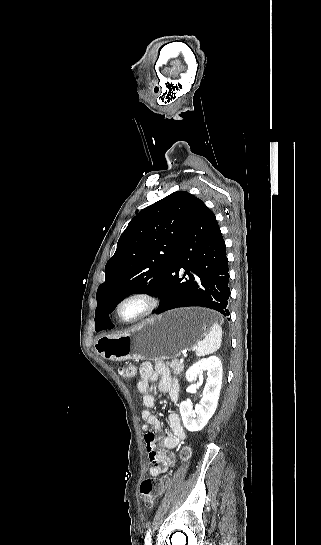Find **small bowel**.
Returning <instances> with one entry per match:
<instances>
[{"mask_svg": "<svg viewBox=\"0 0 321 545\" xmlns=\"http://www.w3.org/2000/svg\"><path fill=\"white\" fill-rule=\"evenodd\" d=\"M154 381L158 382V390L166 393L173 402H176L179 397V384L171 377L168 367L163 362H157L154 365L145 362L140 367L137 389L142 395V402L146 408L142 412L144 441L152 464L149 473L151 476L157 477L166 473L175 462V454L172 450L182 443L186 433L178 414L171 413L168 417L169 434L165 437L159 436L161 425L151 412L155 406V398L148 391L149 384Z\"/></svg>", "mask_w": 321, "mask_h": 545, "instance_id": "small-bowel-1", "label": "small bowel"}]
</instances>
